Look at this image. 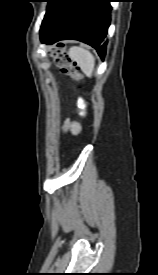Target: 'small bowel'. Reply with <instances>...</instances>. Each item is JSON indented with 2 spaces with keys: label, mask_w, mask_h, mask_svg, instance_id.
I'll list each match as a JSON object with an SVG mask.
<instances>
[{
  "label": "small bowel",
  "mask_w": 158,
  "mask_h": 275,
  "mask_svg": "<svg viewBox=\"0 0 158 275\" xmlns=\"http://www.w3.org/2000/svg\"><path fill=\"white\" fill-rule=\"evenodd\" d=\"M80 124L77 121L68 119L66 121V129L73 132V133H77L80 130Z\"/></svg>",
  "instance_id": "1"
}]
</instances>
